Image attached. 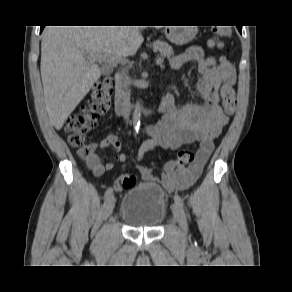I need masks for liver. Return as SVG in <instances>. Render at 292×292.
Returning a JSON list of instances; mask_svg holds the SVG:
<instances>
[{
    "label": "liver",
    "mask_w": 292,
    "mask_h": 292,
    "mask_svg": "<svg viewBox=\"0 0 292 292\" xmlns=\"http://www.w3.org/2000/svg\"><path fill=\"white\" fill-rule=\"evenodd\" d=\"M146 26H47L42 33L41 79L48 116L60 130L102 74L89 54L114 61L133 55Z\"/></svg>",
    "instance_id": "obj_1"
}]
</instances>
